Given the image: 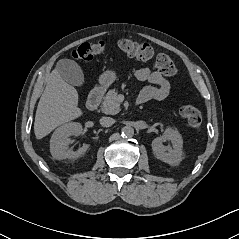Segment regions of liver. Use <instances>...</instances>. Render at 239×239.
Wrapping results in <instances>:
<instances>
[{"instance_id":"6515ba94","label":"liver","mask_w":239,"mask_h":239,"mask_svg":"<svg viewBox=\"0 0 239 239\" xmlns=\"http://www.w3.org/2000/svg\"><path fill=\"white\" fill-rule=\"evenodd\" d=\"M78 92L65 81L55 68L49 75L45 90L38 102L34 133L42 139L56 127L81 116Z\"/></svg>"}]
</instances>
